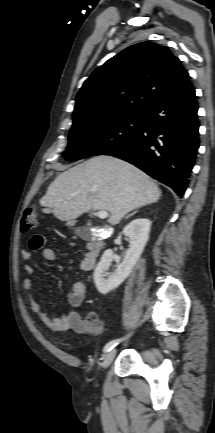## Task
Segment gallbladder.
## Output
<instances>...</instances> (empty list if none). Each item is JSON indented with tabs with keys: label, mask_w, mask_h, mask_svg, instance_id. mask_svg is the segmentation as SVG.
<instances>
[{
	"label": "gallbladder",
	"mask_w": 215,
	"mask_h": 433,
	"mask_svg": "<svg viewBox=\"0 0 215 433\" xmlns=\"http://www.w3.org/2000/svg\"><path fill=\"white\" fill-rule=\"evenodd\" d=\"M74 232L80 238L86 239V238H88L90 230H89V227H87V226H81V227L75 228Z\"/></svg>",
	"instance_id": "bac80fb5"
}]
</instances>
